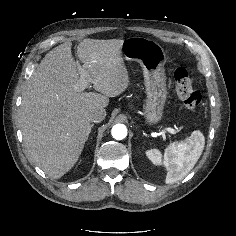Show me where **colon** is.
<instances>
[{"instance_id":"1","label":"colon","mask_w":236,"mask_h":236,"mask_svg":"<svg viewBox=\"0 0 236 236\" xmlns=\"http://www.w3.org/2000/svg\"><path fill=\"white\" fill-rule=\"evenodd\" d=\"M175 92L181 103L191 112L198 109L201 95L193 87L192 79L184 68H178L174 73Z\"/></svg>"}]
</instances>
